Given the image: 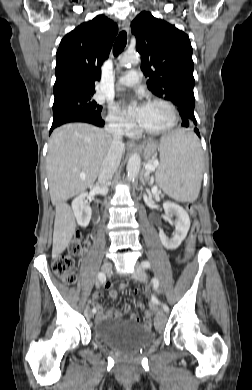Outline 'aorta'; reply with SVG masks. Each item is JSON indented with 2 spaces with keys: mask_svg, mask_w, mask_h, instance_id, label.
Returning a JSON list of instances; mask_svg holds the SVG:
<instances>
[{
  "mask_svg": "<svg viewBox=\"0 0 252 390\" xmlns=\"http://www.w3.org/2000/svg\"><path fill=\"white\" fill-rule=\"evenodd\" d=\"M139 57L136 54H124L121 58V65L135 64L138 63ZM141 166V159L139 154H133L127 163V178L129 181L134 182L136 179Z\"/></svg>",
  "mask_w": 252,
  "mask_h": 390,
  "instance_id": "aorta-1",
  "label": "aorta"
}]
</instances>
